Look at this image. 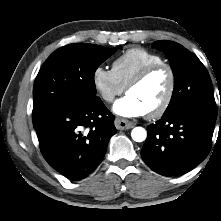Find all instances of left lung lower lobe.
<instances>
[{
  "instance_id": "0a47b994",
  "label": "left lung lower lobe",
  "mask_w": 221,
  "mask_h": 221,
  "mask_svg": "<svg viewBox=\"0 0 221 221\" xmlns=\"http://www.w3.org/2000/svg\"><path fill=\"white\" fill-rule=\"evenodd\" d=\"M215 121L216 116L193 107L163 115L147 128L142 159L163 176L191 171L210 151Z\"/></svg>"
}]
</instances>
